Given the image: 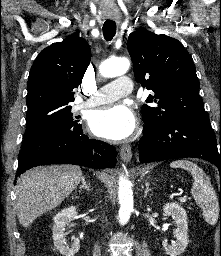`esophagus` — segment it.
I'll return each instance as SVG.
<instances>
[{"instance_id": "34e87169", "label": "esophagus", "mask_w": 221, "mask_h": 256, "mask_svg": "<svg viewBox=\"0 0 221 256\" xmlns=\"http://www.w3.org/2000/svg\"><path fill=\"white\" fill-rule=\"evenodd\" d=\"M120 157L124 162H130L132 159V149L130 145H123L120 148Z\"/></svg>"}]
</instances>
